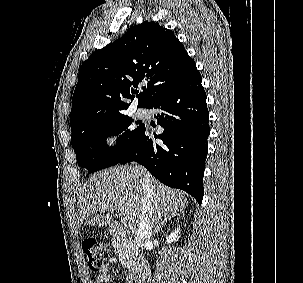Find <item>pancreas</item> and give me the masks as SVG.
I'll list each match as a JSON object with an SVG mask.
<instances>
[{"label":"pancreas","mask_w":303,"mask_h":283,"mask_svg":"<svg viewBox=\"0 0 303 283\" xmlns=\"http://www.w3.org/2000/svg\"><path fill=\"white\" fill-rule=\"evenodd\" d=\"M113 246L124 266L130 268L135 265L137 245L131 238L121 236L114 240Z\"/></svg>","instance_id":"obj_1"}]
</instances>
